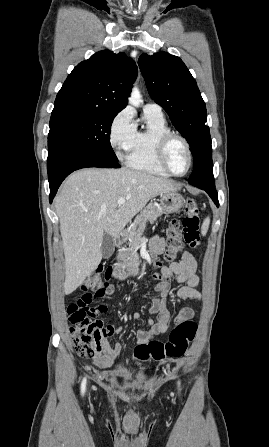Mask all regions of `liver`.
<instances>
[{
	"instance_id": "1",
	"label": "liver",
	"mask_w": 269,
	"mask_h": 447,
	"mask_svg": "<svg viewBox=\"0 0 269 447\" xmlns=\"http://www.w3.org/2000/svg\"><path fill=\"white\" fill-rule=\"evenodd\" d=\"M166 192H177L171 180L128 168H86L67 178L55 202L65 255L67 295L98 267L104 231L118 237L149 200ZM119 198L128 200L119 206Z\"/></svg>"
}]
</instances>
